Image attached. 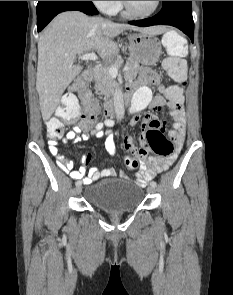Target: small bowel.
<instances>
[{
  "mask_svg": "<svg viewBox=\"0 0 233 295\" xmlns=\"http://www.w3.org/2000/svg\"><path fill=\"white\" fill-rule=\"evenodd\" d=\"M159 78L157 75L148 68H143L140 74V84L133 98L131 123L136 124L142 117V111L149 107L152 110L161 111L165 106L170 110V115L173 119L172 130L169 131V137L174 144V151L168 156H148L141 157L140 169L136 175V183L139 185H145L157 174L162 173L169 169V167L176 160L179 151L181 150L185 138V115H184V98L182 93L178 96H170L163 86H160L161 94L153 96L150 88L147 86L151 83H158ZM81 101L85 111L90 107H96V101L93 96L88 93L81 97ZM114 125V121L110 118H106L103 121L94 123L82 119L72 130H70L63 138L64 143L72 142L74 144L82 141H87L90 138H102L105 139V149L109 155L114 156L116 154V146L112 133L105 128H110ZM166 122L161 123L154 114H147L143 118L142 132L140 139L144 138V132L147 127L153 129H159L165 131ZM124 145L131 151H136L138 147L134 145V141L130 137L124 139ZM48 148L50 153L56 158L58 166L70 173V176L74 179L83 178L85 184H90L92 181L99 178L113 177L116 175V171L113 168H105L99 170L96 167L89 169L87 176L86 167L92 159L91 153H86L82 156V166L78 170H73V161L59 153L57 147V141L49 140Z\"/></svg>",
  "mask_w": 233,
  "mask_h": 295,
  "instance_id": "1",
  "label": "small bowel"
}]
</instances>
